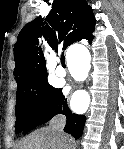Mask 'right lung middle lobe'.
I'll return each mask as SVG.
<instances>
[{
  "label": "right lung middle lobe",
  "mask_w": 124,
  "mask_h": 149,
  "mask_svg": "<svg viewBox=\"0 0 124 149\" xmlns=\"http://www.w3.org/2000/svg\"><path fill=\"white\" fill-rule=\"evenodd\" d=\"M56 91L57 89L52 87L46 79L35 86L18 87L15 111L16 133L23 131L26 122L32 115L45 111Z\"/></svg>",
  "instance_id": "right-lung-middle-lobe-1"
}]
</instances>
